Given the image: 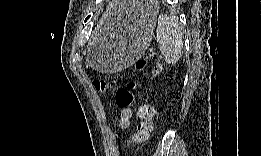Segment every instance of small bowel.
I'll return each mask as SVG.
<instances>
[{"label":"small bowel","instance_id":"small-bowel-1","mask_svg":"<svg viewBox=\"0 0 261 156\" xmlns=\"http://www.w3.org/2000/svg\"><path fill=\"white\" fill-rule=\"evenodd\" d=\"M132 118L133 112L131 109L125 108L121 110L118 117L116 118L118 127L122 130L127 129L130 126Z\"/></svg>","mask_w":261,"mask_h":156}]
</instances>
